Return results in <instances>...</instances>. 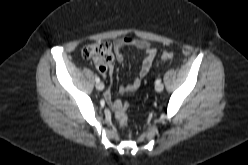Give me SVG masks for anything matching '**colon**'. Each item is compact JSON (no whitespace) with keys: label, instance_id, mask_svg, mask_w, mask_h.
Returning a JSON list of instances; mask_svg holds the SVG:
<instances>
[{"label":"colon","instance_id":"obj_1","mask_svg":"<svg viewBox=\"0 0 248 165\" xmlns=\"http://www.w3.org/2000/svg\"><path fill=\"white\" fill-rule=\"evenodd\" d=\"M82 56L87 60L93 61L98 70L106 71L109 69L113 60L111 44L105 41L90 43L82 49ZM161 58L162 60H171L173 58V53L164 52L162 53ZM110 103L116 112V119L119 125L121 127L127 126V110L129 108V104L112 99L110 100Z\"/></svg>","mask_w":248,"mask_h":165}]
</instances>
